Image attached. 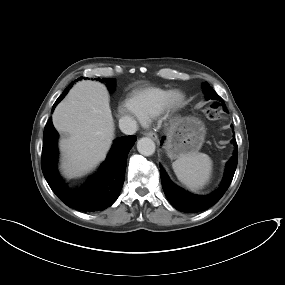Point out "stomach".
<instances>
[{
	"label": "stomach",
	"instance_id": "1",
	"mask_svg": "<svg viewBox=\"0 0 285 285\" xmlns=\"http://www.w3.org/2000/svg\"><path fill=\"white\" fill-rule=\"evenodd\" d=\"M206 130L196 117H184L172 123L167 130L165 151L169 158L197 152L205 138Z\"/></svg>",
	"mask_w": 285,
	"mask_h": 285
}]
</instances>
